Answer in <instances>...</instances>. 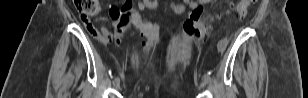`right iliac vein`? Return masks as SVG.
<instances>
[{
  "label": "right iliac vein",
  "instance_id": "obj_1",
  "mask_svg": "<svg viewBox=\"0 0 308 98\" xmlns=\"http://www.w3.org/2000/svg\"><path fill=\"white\" fill-rule=\"evenodd\" d=\"M115 88H119L120 87V81L118 80L117 82L114 83Z\"/></svg>",
  "mask_w": 308,
  "mask_h": 98
}]
</instances>
